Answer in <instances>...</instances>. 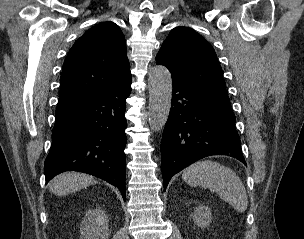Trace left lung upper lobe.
Here are the masks:
<instances>
[{
  "label": "left lung upper lobe",
  "instance_id": "left-lung-upper-lobe-1",
  "mask_svg": "<svg viewBox=\"0 0 304 239\" xmlns=\"http://www.w3.org/2000/svg\"><path fill=\"white\" fill-rule=\"evenodd\" d=\"M156 62L169 69L172 79L230 102L216 53L196 31L183 26L172 29L156 56Z\"/></svg>",
  "mask_w": 304,
  "mask_h": 239
}]
</instances>
